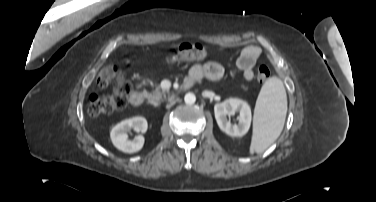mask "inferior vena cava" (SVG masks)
Here are the masks:
<instances>
[{"instance_id": "inferior-vena-cava-1", "label": "inferior vena cava", "mask_w": 376, "mask_h": 202, "mask_svg": "<svg viewBox=\"0 0 376 202\" xmlns=\"http://www.w3.org/2000/svg\"><path fill=\"white\" fill-rule=\"evenodd\" d=\"M173 104H174V102L170 103V104H169V105H167V106L169 107V106H171V105H173Z\"/></svg>"}]
</instances>
